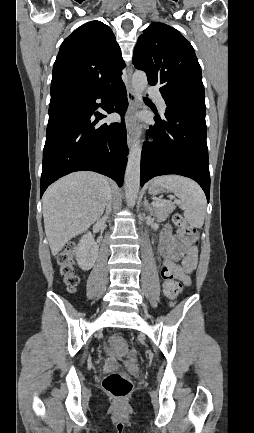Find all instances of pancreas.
Wrapping results in <instances>:
<instances>
[{"mask_svg": "<svg viewBox=\"0 0 254 433\" xmlns=\"http://www.w3.org/2000/svg\"><path fill=\"white\" fill-rule=\"evenodd\" d=\"M175 206L173 204H164L162 206H153L152 214L162 221L168 218L169 214L173 211Z\"/></svg>", "mask_w": 254, "mask_h": 433, "instance_id": "cf45deb5", "label": "pancreas"}]
</instances>
